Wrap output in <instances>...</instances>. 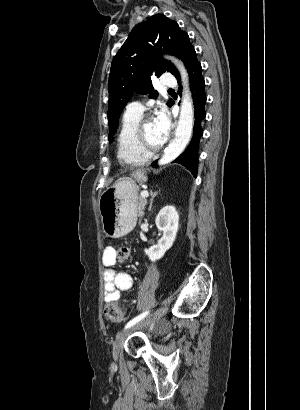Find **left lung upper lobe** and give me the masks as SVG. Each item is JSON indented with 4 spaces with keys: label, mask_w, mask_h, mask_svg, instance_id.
I'll return each instance as SVG.
<instances>
[{
    "label": "left lung upper lobe",
    "mask_w": 300,
    "mask_h": 410,
    "mask_svg": "<svg viewBox=\"0 0 300 410\" xmlns=\"http://www.w3.org/2000/svg\"><path fill=\"white\" fill-rule=\"evenodd\" d=\"M168 52L182 59L186 68L196 53L185 31L178 23L163 14H156L135 26L112 61L109 76V141L112 142L119 116L134 92L150 93L155 98L151 76L160 77L165 72L179 78L175 66L160 57ZM173 100L167 105L171 107Z\"/></svg>",
    "instance_id": "obj_1"
}]
</instances>
